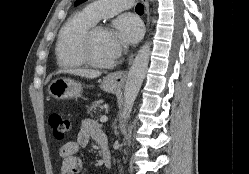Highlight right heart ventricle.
<instances>
[{
    "label": "right heart ventricle",
    "mask_w": 249,
    "mask_h": 174,
    "mask_svg": "<svg viewBox=\"0 0 249 174\" xmlns=\"http://www.w3.org/2000/svg\"><path fill=\"white\" fill-rule=\"evenodd\" d=\"M96 21L83 10L74 14L63 26L57 46L58 63L63 68H78L85 65L80 48L85 33Z\"/></svg>",
    "instance_id": "obj_1"
}]
</instances>
